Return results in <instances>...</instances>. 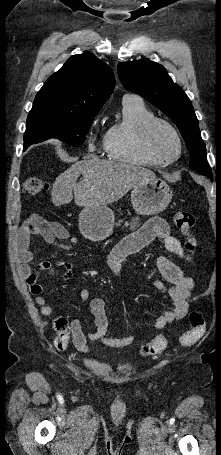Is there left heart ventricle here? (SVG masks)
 Segmentation results:
<instances>
[{
	"instance_id": "1",
	"label": "left heart ventricle",
	"mask_w": 221,
	"mask_h": 455,
	"mask_svg": "<svg viewBox=\"0 0 221 455\" xmlns=\"http://www.w3.org/2000/svg\"><path fill=\"white\" fill-rule=\"evenodd\" d=\"M154 145L156 148L167 157H175L177 155V143L171 133L164 127L156 128L153 136Z\"/></svg>"
}]
</instances>
